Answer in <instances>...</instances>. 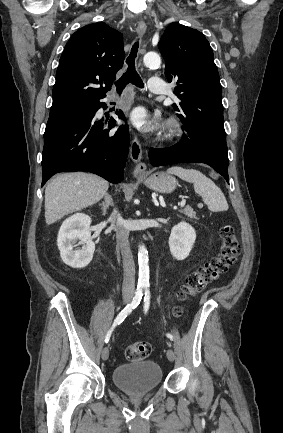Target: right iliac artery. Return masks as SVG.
<instances>
[{
	"label": "right iliac artery",
	"mask_w": 283,
	"mask_h": 433,
	"mask_svg": "<svg viewBox=\"0 0 283 433\" xmlns=\"http://www.w3.org/2000/svg\"><path fill=\"white\" fill-rule=\"evenodd\" d=\"M143 293H142V288L137 287V290L135 292V296L133 297V300L130 304H128L117 316V318L114 320V323L111 327V329L107 332L106 336H105V343H108L111 333L113 331V329L119 325L120 323H122L124 321V319L132 312L133 309H135L141 299H142Z\"/></svg>",
	"instance_id": "right-iliac-artery-1"
}]
</instances>
